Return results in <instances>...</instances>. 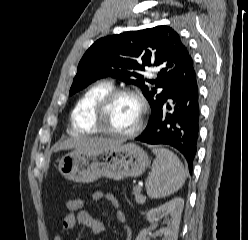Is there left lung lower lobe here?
I'll list each match as a JSON object with an SVG mask.
<instances>
[{
	"label": "left lung lower lobe",
	"instance_id": "0a47b994",
	"mask_svg": "<svg viewBox=\"0 0 248 240\" xmlns=\"http://www.w3.org/2000/svg\"><path fill=\"white\" fill-rule=\"evenodd\" d=\"M168 99L171 103L167 102ZM199 122V89L194 73L169 93L161 109L151 116L147 127L136 140L176 148L184 155L191 173L197 151Z\"/></svg>",
	"mask_w": 248,
	"mask_h": 240
}]
</instances>
